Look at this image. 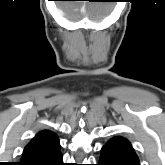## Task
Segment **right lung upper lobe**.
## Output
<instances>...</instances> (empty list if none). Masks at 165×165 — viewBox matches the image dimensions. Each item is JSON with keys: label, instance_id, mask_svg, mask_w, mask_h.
I'll list each match as a JSON object with an SVG mask.
<instances>
[{"label": "right lung upper lobe", "instance_id": "1", "mask_svg": "<svg viewBox=\"0 0 165 165\" xmlns=\"http://www.w3.org/2000/svg\"><path fill=\"white\" fill-rule=\"evenodd\" d=\"M53 134H54L53 132L48 131V130H44V131L39 132V133L32 139V141L25 147L23 153H25V152L29 149V146H30L32 143H34L35 141H37V140H39V139H41V138H43V137H46V136H49V135H53Z\"/></svg>", "mask_w": 165, "mask_h": 165}]
</instances>
